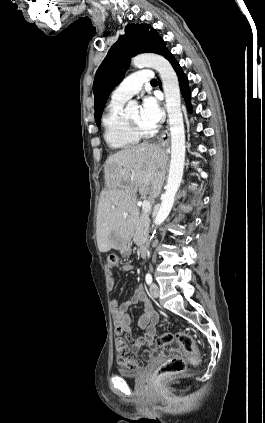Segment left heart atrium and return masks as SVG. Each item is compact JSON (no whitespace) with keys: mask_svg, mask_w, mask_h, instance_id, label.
Returning <instances> with one entry per match:
<instances>
[{"mask_svg":"<svg viewBox=\"0 0 265 423\" xmlns=\"http://www.w3.org/2000/svg\"><path fill=\"white\" fill-rule=\"evenodd\" d=\"M141 120L147 128H155L163 119L164 113L156 98L147 96L141 107Z\"/></svg>","mask_w":265,"mask_h":423,"instance_id":"obj_1","label":"left heart atrium"}]
</instances>
